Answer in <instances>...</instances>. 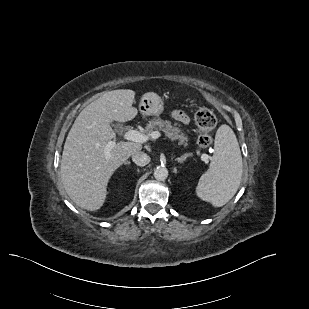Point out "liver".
Wrapping results in <instances>:
<instances>
[{"label": "liver", "instance_id": "obj_1", "mask_svg": "<svg viewBox=\"0 0 309 309\" xmlns=\"http://www.w3.org/2000/svg\"><path fill=\"white\" fill-rule=\"evenodd\" d=\"M134 97L135 92L129 89L104 93L81 111L68 133L61 180L69 197L83 209L96 211L103 206L112 174L142 149L138 142H115L110 158L105 157L107 144L116 138L110 123L130 121L138 113L132 107Z\"/></svg>", "mask_w": 309, "mask_h": 309}]
</instances>
